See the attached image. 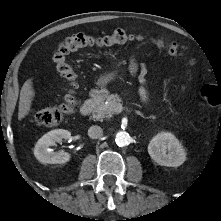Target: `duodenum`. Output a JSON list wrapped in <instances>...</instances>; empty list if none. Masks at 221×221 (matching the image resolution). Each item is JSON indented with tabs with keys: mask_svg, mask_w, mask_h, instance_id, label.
I'll return each mask as SVG.
<instances>
[{
	"mask_svg": "<svg viewBox=\"0 0 221 221\" xmlns=\"http://www.w3.org/2000/svg\"><path fill=\"white\" fill-rule=\"evenodd\" d=\"M94 95L96 94L94 93ZM94 107H95V98L94 96H92L89 99H87L81 106L80 109L81 115L84 117L88 116L92 112Z\"/></svg>",
	"mask_w": 221,
	"mask_h": 221,
	"instance_id": "1",
	"label": "duodenum"
}]
</instances>
